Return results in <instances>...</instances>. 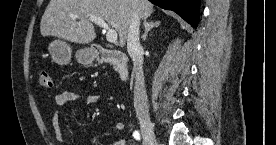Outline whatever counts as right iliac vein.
Wrapping results in <instances>:
<instances>
[{"label":"right iliac vein","instance_id":"63e3f726","mask_svg":"<svg viewBox=\"0 0 276 145\" xmlns=\"http://www.w3.org/2000/svg\"><path fill=\"white\" fill-rule=\"evenodd\" d=\"M139 122L141 125L144 145H156L157 139L154 134L153 125L150 121V118L146 115H142L139 117Z\"/></svg>","mask_w":276,"mask_h":145}]
</instances>
